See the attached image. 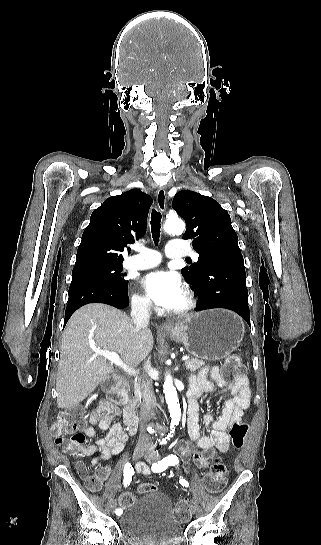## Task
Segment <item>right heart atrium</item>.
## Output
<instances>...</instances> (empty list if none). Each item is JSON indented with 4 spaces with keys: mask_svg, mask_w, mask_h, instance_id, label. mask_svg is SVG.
Wrapping results in <instances>:
<instances>
[{
    "mask_svg": "<svg viewBox=\"0 0 321 545\" xmlns=\"http://www.w3.org/2000/svg\"><path fill=\"white\" fill-rule=\"evenodd\" d=\"M130 302L132 309L139 314L150 315L153 311L150 301L141 294H133Z\"/></svg>",
    "mask_w": 321,
    "mask_h": 545,
    "instance_id": "d8ad5b80",
    "label": "right heart atrium"
}]
</instances>
